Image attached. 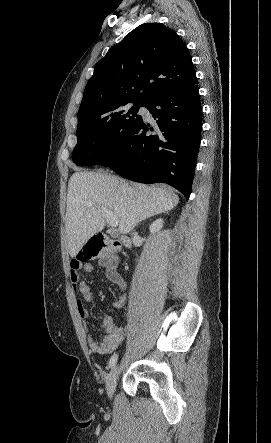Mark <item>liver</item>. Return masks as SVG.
I'll return each instance as SVG.
<instances>
[{"instance_id": "1", "label": "liver", "mask_w": 271, "mask_h": 443, "mask_svg": "<svg viewBox=\"0 0 271 443\" xmlns=\"http://www.w3.org/2000/svg\"><path fill=\"white\" fill-rule=\"evenodd\" d=\"M179 204L178 196L146 184H127L126 180L100 174V172H75L68 182L65 231L67 247L75 257L84 243L102 231L105 216L113 212L118 220V231L129 233L136 223L172 210ZM89 206V208H87Z\"/></svg>"}]
</instances>
